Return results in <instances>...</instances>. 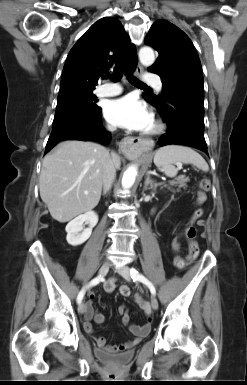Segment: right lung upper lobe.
<instances>
[{"label":"right lung upper lobe","mask_w":247,"mask_h":385,"mask_svg":"<svg viewBox=\"0 0 247 385\" xmlns=\"http://www.w3.org/2000/svg\"><path fill=\"white\" fill-rule=\"evenodd\" d=\"M135 46L122 24L104 17L94 23L70 50L62 72L60 91L95 89L109 70L131 71L136 67Z\"/></svg>","instance_id":"right-lung-upper-lobe-1"}]
</instances>
